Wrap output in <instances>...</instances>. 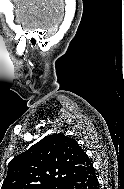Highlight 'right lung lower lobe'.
Wrapping results in <instances>:
<instances>
[{
	"label": "right lung lower lobe",
	"mask_w": 124,
	"mask_h": 189,
	"mask_svg": "<svg viewBox=\"0 0 124 189\" xmlns=\"http://www.w3.org/2000/svg\"><path fill=\"white\" fill-rule=\"evenodd\" d=\"M62 189H99L97 174L92 163L81 175L66 183Z\"/></svg>",
	"instance_id": "obj_1"
}]
</instances>
